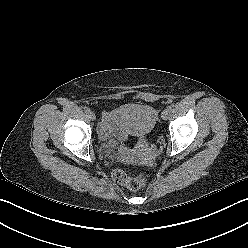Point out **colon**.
Wrapping results in <instances>:
<instances>
[{"instance_id":"5ec220e1","label":"colon","mask_w":248,"mask_h":248,"mask_svg":"<svg viewBox=\"0 0 248 248\" xmlns=\"http://www.w3.org/2000/svg\"><path fill=\"white\" fill-rule=\"evenodd\" d=\"M112 178L115 183L133 191L142 188L146 183V178L143 175L132 177L129 172L123 169L115 170L112 174Z\"/></svg>"}]
</instances>
